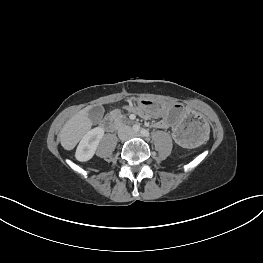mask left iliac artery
<instances>
[{
  "label": "left iliac artery",
  "instance_id": "left-iliac-artery-1",
  "mask_svg": "<svg viewBox=\"0 0 263 263\" xmlns=\"http://www.w3.org/2000/svg\"><path fill=\"white\" fill-rule=\"evenodd\" d=\"M141 134H142L143 136H145V137H149V136H150L149 131L146 130V129H141Z\"/></svg>",
  "mask_w": 263,
  "mask_h": 263
}]
</instances>
